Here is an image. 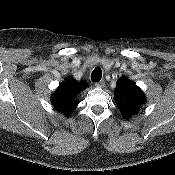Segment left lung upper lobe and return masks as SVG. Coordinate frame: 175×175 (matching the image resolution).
I'll use <instances>...</instances> for the list:
<instances>
[{
	"label": "left lung upper lobe",
	"instance_id": "obj_1",
	"mask_svg": "<svg viewBox=\"0 0 175 175\" xmlns=\"http://www.w3.org/2000/svg\"><path fill=\"white\" fill-rule=\"evenodd\" d=\"M114 97L125 119L137 114L146 101V96L141 89L126 77L118 81Z\"/></svg>",
	"mask_w": 175,
	"mask_h": 175
}]
</instances>
